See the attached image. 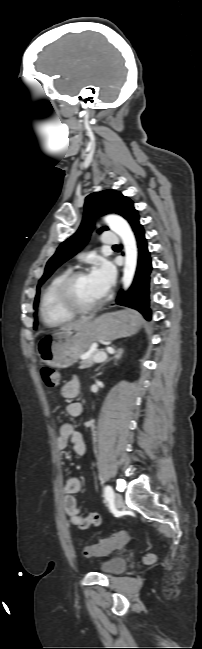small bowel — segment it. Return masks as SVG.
I'll use <instances>...</instances> for the list:
<instances>
[{
    "instance_id": "small-bowel-1",
    "label": "small bowel",
    "mask_w": 202,
    "mask_h": 649,
    "mask_svg": "<svg viewBox=\"0 0 202 649\" xmlns=\"http://www.w3.org/2000/svg\"><path fill=\"white\" fill-rule=\"evenodd\" d=\"M79 390L80 383L78 379L72 378L63 385L61 393L66 398H74L78 395ZM66 411L73 418L80 417L83 413V405L80 402H70L66 405ZM69 443L72 444L75 454L83 455L86 452V445L82 434L75 430L71 423H64L60 426L56 447L59 451H64L67 449ZM80 489L81 481L78 477L69 478L63 486V492L65 494L63 507L69 517V521L80 530L99 527L102 523V518L98 513L93 512L85 515L78 508L74 495Z\"/></svg>"
}]
</instances>
